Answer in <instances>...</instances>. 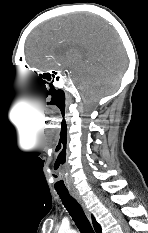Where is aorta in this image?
Masks as SVG:
<instances>
[{"mask_svg":"<svg viewBox=\"0 0 148 233\" xmlns=\"http://www.w3.org/2000/svg\"><path fill=\"white\" fill-rule=\"evenodd\" d=\"M65 233H76V231H74V230H68V231H65Z\"/></svg>","mask_w":148,"mask_h":233,"instance_id":"aorta-1","label":"aorta"}]
</instances>
